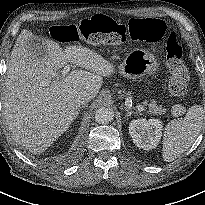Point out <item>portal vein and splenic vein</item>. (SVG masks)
<instances>
[{
	"mask_svg": "<svg viewBox=\"0 0 205 205\" xmlns=\"http://www.w3.org/2000/svg\"><path fill=\"white\" fill-rule=\"evenodd\" d=\"M70 71V65H65L63 71H62V76L65 77L68 72ZM43 84H47L46 82ZM138 111H145L146 109L142 105L137 106Z\"/></svg>",
	"mask_w": 205,
	"mask_h": 205,
	"instance_id": "18ae733b",
	"label": "portal vein and splenic vein"
}]
</instances>
